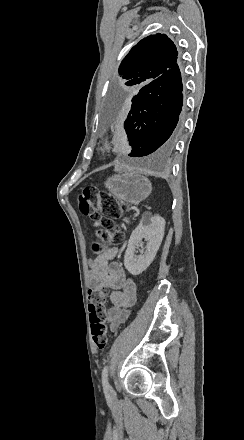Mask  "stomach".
I'll return each instance as SVG.
<instances>
[{
	"instance_id": "0dacf381",
	"label": "stomach",
	"mask_w": 244,
	"mask_h": 440,
	"mask_svg": "<svg viewBox=\"0 0 244 440\" xmlns=\"http://www.w3.org/2000/svg\"><path fill=\"white\" fill-rule=\"evenodd\" d=\"M105 188H108L120 204H134V206L146 200L152 192L150 180L137 172L114 174L111 178H107Z\"/></svg>"
}]
</instances>
